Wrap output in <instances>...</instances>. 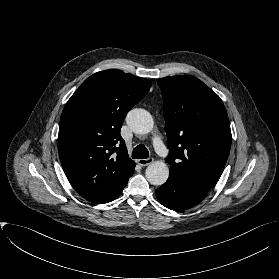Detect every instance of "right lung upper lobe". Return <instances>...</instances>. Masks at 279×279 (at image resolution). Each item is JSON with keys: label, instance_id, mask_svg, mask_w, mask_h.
Returning <instances> with one entry per match:
<instances>
[{"label": "right lung upper lobe", "instance_id": "right-lung-upper-lobe-1", "mask_svg": "<svg viewBox=\"0 0 279 279\" xmlns=\"http://www.w3.org/2000/svg\"><path fill=\"white\" fill-rule=\"evenodd\" d=\"M152 83L117 70L88 77L63 110L58 150L73 188L95 204L106 203L126 186L135 162L120 129L129 110Z\"/></svg>", "mask_w": 279, "mask_h": 279}]
</instances>
